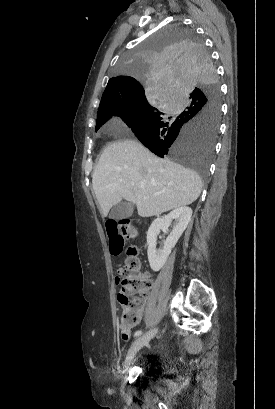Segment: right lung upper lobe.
Segmentation results:
<instances>
[{"label":"right lung upper lobe","mask_w":275,"mask_h":409,"mask_svg":"<svg viewBox=\"0 0 275 409\" xmlns=\"http://www.w3.org/2000/svg\"><path fill=\"white\" fill-rule=\"evenodd\" d=\"M145 96V90L141 83L128 76L113 77L108 81L103 93L98 112L112 107L121 100Z\"/></svg>","instance_id":"obj_1"}]
</instances>
